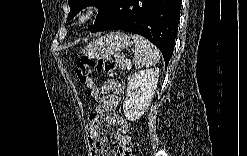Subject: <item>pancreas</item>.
I'll list each match as a JSON object with an SVG mask.
<instances>
[{
	"label": "pancreas",
	"instance_id": "obj_1",
	"mask_svg": "<svg viewBox=\"0 0 247 156\" xmlns=\"http://www.w3.org/2000/svg\"><path fill=\"white\" fill-rule=\"evenodd\" d=\"M125 62L126 60L124 59H121V60H118L117 63H118V66L122 69H125L126 68V65H125Z\"/></svg>",
	"mask_w": 247,
	"mask_h": 156
}]
</instances>
